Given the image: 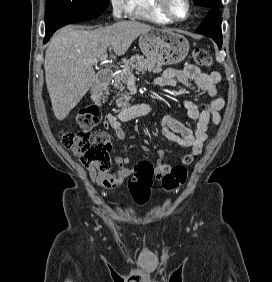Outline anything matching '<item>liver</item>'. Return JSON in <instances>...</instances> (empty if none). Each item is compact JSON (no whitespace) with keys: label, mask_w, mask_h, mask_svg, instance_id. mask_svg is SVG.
<instances>
[{"label":"liver","mask_w":272,"mask_h":282,"mask_svg":"<svg viewBox=\"0 0 272 282\" xmlns=\"http://www.w3.org/2000/svg\"><path fill=\"white\" fill-rule=\"evenodd\" d=\"M153 29L137 21H118L95 30L67 26L51 39L45 54V80L57 120L65 119L96 79L93 64L107 48L116 58L141 34Z\"/></svg>","instance_id":"1"}]
</instances>
